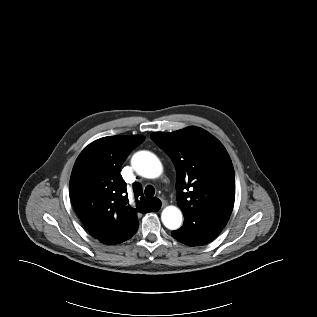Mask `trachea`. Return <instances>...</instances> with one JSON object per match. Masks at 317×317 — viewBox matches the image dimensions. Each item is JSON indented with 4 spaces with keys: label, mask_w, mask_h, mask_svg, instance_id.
I'll return each instance as SVG.
<instances>
[{
    "label": "trachea",
    "mask_w": 317,
    "mask_h": 317,
    "mask_svg": "<svg viewBox=\"0 0 317 317\" xmlns=\"http://www.w3.org/2000/svg\"><path fill=\"white\" fill-rule=\"evenodd\" d=\"M144 193L146 196L152 197L155 194V189L153 186L148 185V186H146Z\"/></svg>",
    "instance_id": "obj_1"
}]
</instances>
